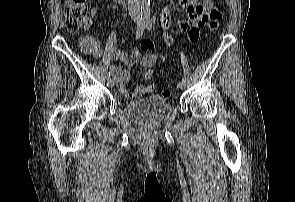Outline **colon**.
<instances>
[{
  "label": "colon",
  "mask_w": 295,
  "mask_h": 202,
  "mask_svg": "<svg viewBox=\"0 0 295 202\" xmlns=\"http://www.w3.org/2000/svg\"><path fill=\"white\" fill-rule=\"evenodd\" d=\"M64 11L66 28L68 31L75 33L80 31L83 27H86L87 0H66ZM220 20L221 13L218 9L213 8L209 14V30H217L220 25ZM81 46L85 51L91 49L90 45L86 42H82ZM156 60V52H144V56H140L141 68H145L147 75H156V70H153L157 64ZM155 86V82H147V85H144V90H155ZM160 95L163 98H169L171 92L168 89H163Z\"/></svg>",
  "instance_id": "obj_1"
}]
</instances>
